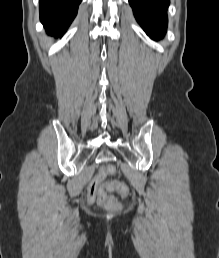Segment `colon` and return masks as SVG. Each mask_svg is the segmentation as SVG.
<instances>
[{"mask_svg":"<svg viewBox=\"0 0 219 258\" xmlns=\"http://www.w3.org/2000/svg\"><path fill=\"white\" fill-rule=\"evenodd\" d=\"M115 174L116 168L113 165H106L100 169L89 184V202L93 203L96 201L100 206L112 210L119 207V203L112 195L108 194V190H116L122 197H127L129 195V188L125 183L119 180H113L109 183L104 182L106 177L114 176Z\"/></svg>","mask_w":219,"mask_h":258,"instance_id":"obj_1","label":"colon"}]
</instances>
